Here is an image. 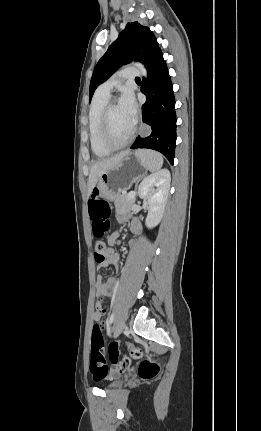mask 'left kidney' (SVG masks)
Masks as SVG:
<instances>
[{"mask_svg": "<svg viewBox=\"0 0 261 431\" xmlns=\"http://www.w3.org/2000/svg\"><path fill=\"white\" fill-rule=\"evenodd\" d=\"M170 181V172L167 169H161L147 176L139 185V197L147 200L149 206L145 221L148 228L157 226L163 218Z\"/></svg>", "mask_w": 261, "mask_h": 431, "instance_id": "left-kidney-1", "label": "left kidney"}]
</instances>
